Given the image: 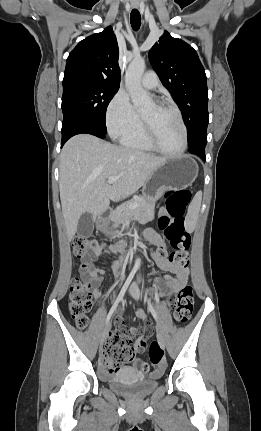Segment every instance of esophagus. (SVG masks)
<instances>
[{"mask_svg": "<svg viewBox=\"0 0 261 431\" xmlns=\"http://www.w3.org/2000/svg\"><path fill=\"white\" fill-rule=\"evenodd\" d=\"M132 5H133L134 8L138 7V3H133Z\"/></svg>", "mask_w": 261, "mask_h": 431, "instance_id": "obj_1", "label": "esophagus"}]
</instances>
